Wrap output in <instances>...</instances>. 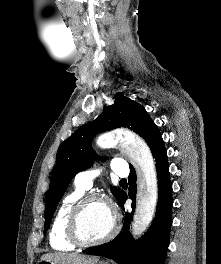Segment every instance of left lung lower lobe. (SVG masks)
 I'll return each mask as SVG.
<instances>
[{
  "mask_svg": "<svg viewBox=\"0 0 221 264\" xmlns=\"http://www.w3.org/2000/svg\"><path fill=\"white\" fill-rule=\"evenodd\" d=\"M153 157L158 176V203L154 221L147 233L140 239L134 240L129 232L136 201V172L130 170L128 196L133 201L132 211L126 213L121 232L111 242L85 249L84 253L104 256L118 264H164L172 225L173 199L167 151L163 141L154 151ZM126 199L127 194L124 193L120 203L124 204Z\"/></svg>",
  "mask_w": 221,
  "mask_h": 264,
  "instance_id": "obj_1",
  "label": "left lung lower lobe"
}]
</instances>
